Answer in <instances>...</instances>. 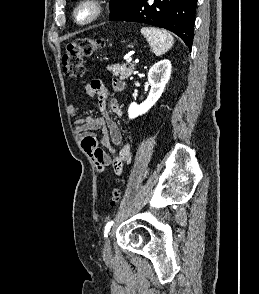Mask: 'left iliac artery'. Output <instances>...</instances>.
Returning <instances> with one entry per match:
<instances>
[{"mask_svg":"<svg viewBox=\"0 0 259 294\" xmlns=\"http://www.w3.org/2000/svg\"><path fill=\"white\" fill-rule=\"evenodd\" d=\"M113 223H114L113 221H109V222L106 224V226H105V228H104V237H107V234H108V232L110 231V229H111Z\"/></svg>","mask_w":259,"mask_h":294,"instance_id":"1","label":"left iliac artery"}]
</instances>
